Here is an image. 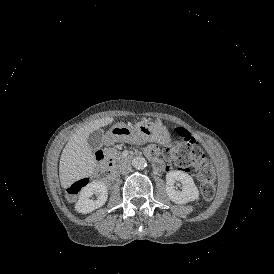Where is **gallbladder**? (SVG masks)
I'll use <instances>...</instances> for the list:
<instances>
[{
	"label": "gallbladder",
	"mask_w": 274,
	"mask_h": 274,
	"mask_svg": "<svg viewBox=\"0 0 274 274\" xmlns=\"http://www.w3.org/2000/svg\"><path fill=\"white\" fill-rule=\"evenodd\" d=\"M104 140V131L102 129H98L93 131L87 138V142L92 150H97L103 144Z\"/></svg>",
	"instance_id": "obj_1"
}]
</instances>
